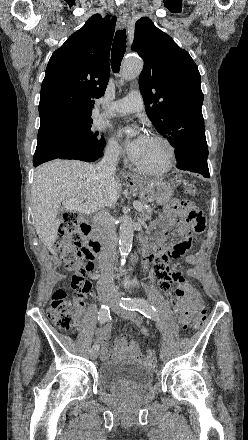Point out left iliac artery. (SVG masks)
<instances>
[{"instance_id":"1","label":"left iliac artery","mask_w":248,"mask_h":440,"mask_svg":"<svg viewBox=\"0 0 248 440\" xmlns=\"http://www.w3.org/2000/svg\"><path fill=\"white\" fill-rule=\"evenodd\" d=\"M120 306L125 310H136L150 319H157L158 317L156 309L142 298H121Z\"/></svg>"}]
</instances>
